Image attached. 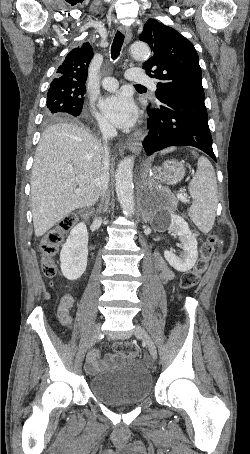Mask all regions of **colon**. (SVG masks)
<instances>
[{
  "mask_svg": "<svg viewBox=\"0 0 250 454\" xmlns=\"http://www.w3.org/2000/svg\"><path fill=\"white\" fill-rule=\"evenodd\" d=\"M75 223L73 216L62 219L58 225L50 229L39 243V250L43 258V273L47 277H53L57 272L55 257L59 252L65 233ZM218 245V238L210 236L201 246L199 257L190 270L186 271L180 279V288L189 290L194 288L203 273L207 270L210 259ZM114 352L118 355L134 359L138 356L135 346L126 342H118L114 345Z\"/></svg>",
  "mask_w": 250,
  "mask_h": 454,
  "instance_id": "obj_1",
  "label": "colon"
}]
</instances>
